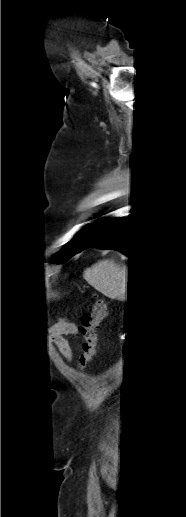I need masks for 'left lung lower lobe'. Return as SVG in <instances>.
<instances>
[{
    "instance_id": "1",
    "label": "left lung lower lobe",
    "mask_w": 186,
    "mask_h": 517,
    "mask_svg": "<svg viewBox=\"0 0 186 517\" xmlns=\"http://www.w3.org/2000/svg\"><path fill=\"white\" fill-rule=\"evenodd\" d=\"M125 228V222L120 218L98 221L94 226L91 237L78 252L88 247H98L116 249L133 258V252L129 246V235Z\"/></svg>"
}]
</instances>
